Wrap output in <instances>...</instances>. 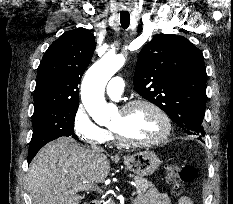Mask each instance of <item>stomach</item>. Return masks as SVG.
<instances>
[{
    "label": "stomach",
    "instance_id": "0dacf381",
    "mask_svg": "<svg viewBox=\"0 0 233 204\" xmlns=\"http://www.w3.org/2000/svg\"><path fill=\"white\" fill-rule=\"evenodd\" d=\"M124 164L133 173L144 177L158 169L160 160L154 152L145 150L124 157Z\"/></svg>",
    "mask_w": 233,
    "mask_h": 204
}]
</instances>
